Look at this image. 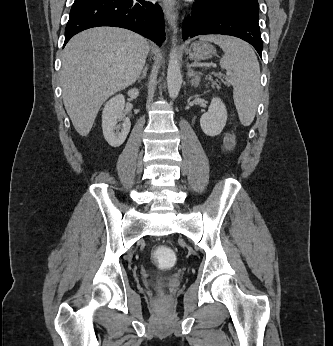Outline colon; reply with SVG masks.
I'll return each instance as SVG.
<instances>
[{"label": "colon", "mask_w": 333, "mask_h": 346, "mask_svg": "<svg viewBox=\"0 0 333 346\" xmlns=\"http://www.w3.org/2000/svg\"><path fill=\"white\" fill-rule=\"evenodd\" d=\"M225 144L228 148H232L235 145V136L232 133H228L225 136ZM156 257H154V264L157 271H169L170 268L175 267V251L169 249L167 244H158L155 251ZM165 286L160 284L157 287L158 305L163 307V298L165 296Z\"/></svg>", "instance_id": "obj_1"}]
</instances>
